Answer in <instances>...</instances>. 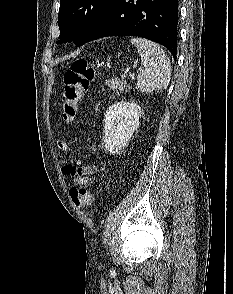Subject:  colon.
Listing matches in <instances>:
<instances>
[{"label":"colon","mask_w":233,"mask_h":294,"mask_svg":"<svg viewBox=\"0 0 233 294\" xmlns=\"http://www.w3.org/2000/svg\"><path fill=\"white\" fill-rule=\"evenodd\" d=\"M93 78L94 69L85 59L75 60L64 73L62 116L65 120H72L75 117L82 97ZM69 195L76 205L87 206L93 202L92 192L86 185L71 188Z\"/></svg>","instance_id":"obj_1"}]
</instances>
